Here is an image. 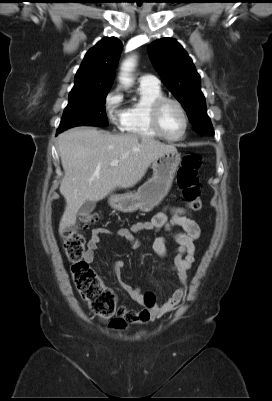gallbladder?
<instances>
[{"label": "gallbladder", "mask_w": 272, "mask_h": 401, "mask_svg": "<svg viewBox=\"0 0 272 401\" xmlns=\"http://www.w3.org/2000/svg\"><path fill=\"white\" fill-rule=\"evenodd\" d=\"M96 207L95 201H85L84 204L79 209V215L86 216L89 215Z\"/></svg>", "instance_id": "obj_1"}]
</instances>
